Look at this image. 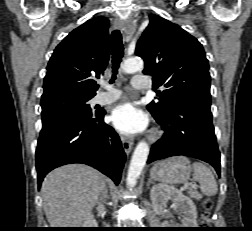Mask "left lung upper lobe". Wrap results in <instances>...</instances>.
I'll list each match as a JSON object with an SVG mask.
<instances>
[{"instance_id":"1","label":"left lung upper lobe","mask_w":252,"mask_h":231,"mask_svg":"<svg viewBox=\"0 0 252 231\" xmlns=\"http://www.w3.org/2000/svg\"><path fill=\"white\" fill-rule=\"evenodd\" d=\"M150 23L136 46V55L145 61L143 73L166 90L148 110L162 115L175 99L198 96L211 101L209 64L200 42L176 24L150 15Z\"/></svg>"}]
</instances>
